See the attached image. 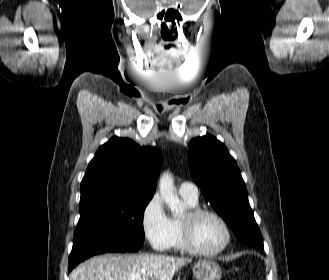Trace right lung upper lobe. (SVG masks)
<instances>
[{
    "instance_id": "1",
    "label": "right lung upper lobe",
    "mask_w": 329,
    "mask_h": 280,
    "mask_svg": "<svg viewBox=\"0 0 329 280\" xmlns=\"http://www.w3.org/2000/svg\"><path fill=\"white\" fill-rule=\"evenodd\" d=\"M162 160V153L154 147L112 137L88 165L80 187V204L120 196L153 197Z\"/></svg>"
}]
</instances>
